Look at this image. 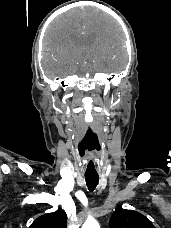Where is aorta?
<instances>
[{"instance_id":"762f6f07","label":"aorta","mask_w":171,"mask_h":228,"mask_svg":"<svg viewBox=\"0 0 171 228\" xmlns=\"http://www.w3.org/2000/svg\"><path fill=\"white\" fill-rule=\"evenodd\" d=\"M82 228H100V226H99V223L95 219L89 218L83 224Z\"/></svg>"}]
</instances>
